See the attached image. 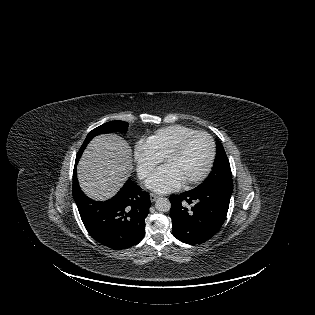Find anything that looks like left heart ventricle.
Returning <instances> with one entry per match:
<instances>
[{"instance_id": "obj_1", "label": "left heart ventricle", "mask_w": 315, "mask_h": 315, "mask_svg": "<svg viewBox=\"0 0 315 315\" xmlns=\"http://www.w3.org/2000/svg\"><path fill=\"white\" fill-rule=\"evenodd\" d=\"M209 150L208 139L203 135L195 136L179 155L167 160L165 165L173 169L185 182L203 171L209 157Z\"/></svg>"}]
</instances>
